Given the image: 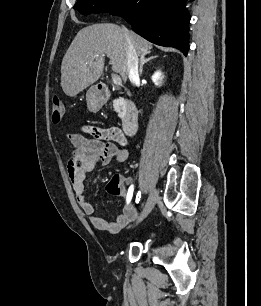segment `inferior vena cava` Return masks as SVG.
<instances>
[{
    "label": "inferior vena cava",
    "instance_id": "602c4592",
    "mask_svg": "<svg viewBox=\"0 0 261 306\" xmlns=\"http://www.w3.org/2000/svg\"><path fill=\"white\" fill-rule=\"evenodd\" d=\"M127 40H128V49H127V71H128V77L131 83H135L139 79V74H138V54L130 42L128 38V31L123 28Z\"/></svg>",
    "mask_w": 261,
    "mask_h": 306
}]
</instances>
